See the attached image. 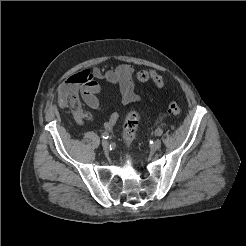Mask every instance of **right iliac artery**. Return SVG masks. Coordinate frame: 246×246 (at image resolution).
<instances>
[{"instance_id":"obj_1","label":"right iliac artery","mask_w":246,"mask_h":246,"mask_svg":"<svg viewBox=\"0 0 246 246\" xmlns=\"http://www.w3.org/2000/svg\"><path fill=\"white\" fill-rule=\"evenodd\" d=\"M102 137H103L104 139H107V138L109 137V134H108L107 132H103V133H102Z\"/></svg>"}]
</instances>
